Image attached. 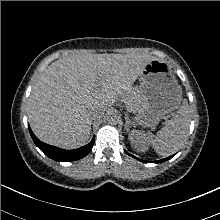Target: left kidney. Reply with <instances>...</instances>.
I'll return each instance as SVG.
<instances>
[{
	"instance_id": "1",
	"label": "left kidney",
	"mask_w": 220,
	"mask_h": 220,
	"mask_svg": "<svg viewBox=\"0 0 220 220\" xmlns=\"http://www.w3.org/2000/svg\"><path fill=\"white\" fill-rule=\"evenodd\" d=\"M132 147L138 152H146L149 149L150 137L144 132L132 130L129 133Z\"/></svg>"
}]
</instances>
